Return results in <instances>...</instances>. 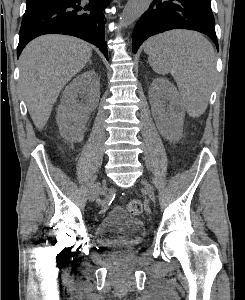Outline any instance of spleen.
Listing matches in <instances>:
<instances>
[{
  "label": "spleen",
  "mask_w": 245,
  "mask_h": 300,
  "mask_svg": "<svg viewBox=\"0 0 245 300\" xmlns=\"http://www.w3.org/2000/svg\"><path fill=\"white\" fill-rule=\"evenodd\" d=\"M144 51L156 73H171L174 77L189 115H202L215 68V53L209 41L196 32L173 30L148 39Z\"/></svg>",
  "instance_id": "spleen-1"
}]
</instances>
